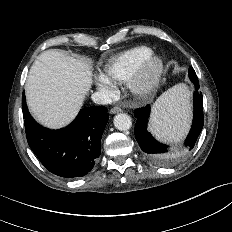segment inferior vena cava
I'll list each match as a JSON object with an SVG mask.
<instances>
[{
	"instance_id": "602c4592",
	"label": "inferior vena cava",
	"mask_w": 232,
	"mask_h": 232,
	"mask_svg": "<svg viewBox=\"0 0 232 232\" xmlns=\"http://www.w3.org/2000/svg\"><path fill=\"white\" fill-rule=\"evenodd\" d=\"M92 100L95 103L102 104V105L110 104L112 102V99L110 98V96L104 91H97L93 93Z\"/></svg>"
}]
</instances>
